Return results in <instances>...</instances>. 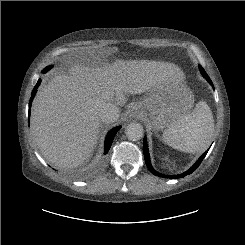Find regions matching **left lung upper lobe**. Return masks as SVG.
Segmentation results:
<instances>
[{
    "mask_svg": "<svg viewBox=\"0 0 245 245\" xmlns=\"http://www.w3.org/2000/svg\"><path fill=\"white\" fill-rule=\"evenodd\" d=\"M200 70H203V68L200 66Z\"/></svg>",
    "mask_w": 245,
    "mask_h": 245,
    "instance_id": "5c2ea615",
    "label": "left lung upper lobe"
}]
</instances>
